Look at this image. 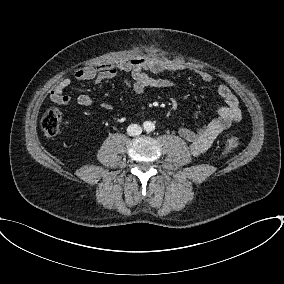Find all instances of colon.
<instances>
[{"mask_svg": "<svg viewBox=\"0 0 284 284\" xmlns=\"http://www.w3.org/2000/svg\"><path fill=\"white\" fill-rule=\"evenodd\" d=\"M62 115L57 108H49L44 112L40 120V126L46 136L52 137L58 134L61 126ZM238 139L232 137L226 145V153L232 152L238 147Z\"/></svg>", "mask_w": 284, "mask_h": 284, "instance_id": "5ec220e1", "label": "colon"}]
</instances>
